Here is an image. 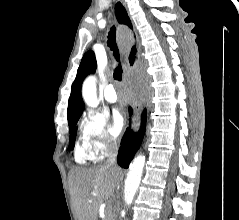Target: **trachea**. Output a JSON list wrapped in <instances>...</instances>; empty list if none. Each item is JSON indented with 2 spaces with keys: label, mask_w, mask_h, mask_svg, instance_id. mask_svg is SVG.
Listing matches in <instances>:
<instances>
[{
  "label": "trachea",
  "mask_w": 239,
  "mask_h": 220,
  "mask_svg": "<svg viewBox=\"0 0 239 220\" xmlns=\"http://www.w3.org/2000/svg\"><path fill=\"white\" fill-rule=\"evenodd\" d=\"M115 35H116V28L113 26L109 32L107 43L110 50L113 51V55L115 59L117 60V62H119L120 55H119V50L116 44ZM113 77L115 80H118V81L122 80V68H121L120 62H119V66L115 69L113 73Z\"/></svg>",
  "instance_id": "trachea-1"
}]
</instances>
